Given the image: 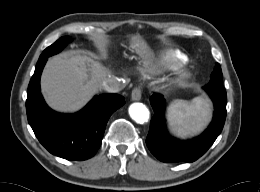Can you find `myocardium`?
Segmentation results:
<instances>
[{"label":"myocardium","instance_id":"f54148a6","mask_svg":"<svg viewBox=\"0 0 260 192\" xmlns=\"http://www.w3.org/2000/svg\"><path fill=\"white\" fill-rule=\"evenodd\" d=\"M185 77H187V75H186V74H183V75L181 76V79H183V78H185Z\"/></svg>","mask_w":260,"mask_h":192}]
</instances>
